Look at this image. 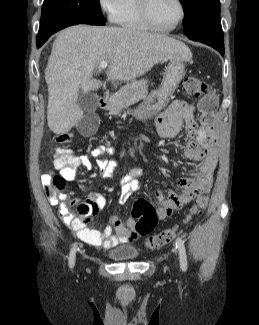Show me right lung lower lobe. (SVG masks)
Masks as SVG:
<instances>
[{"label":"right lung lower lobe","instance_id":"obj_1","mask_svg":"<svg viewBox=\"0 0 259 325\" xmlns=\"http://www.w3.org/2000/svg\"><path fill=\"white\" fill-rule=\"evenodd\" d=\"M51 35L43 38V39H40V40H37V48L41 47L47 40L48 38L50 37Z\"/></svg>","mask_w":259,"mask_h":325}]
</instances>
